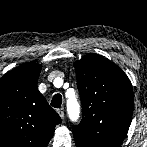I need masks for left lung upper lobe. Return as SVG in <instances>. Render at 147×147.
<instances>
[{
	"label": "left lung upper lobe",
	"instance_id": "left-lung-upper-lobe-1",
	"mask_svg": "<svg viewBox=\"0 0 147 147\" xmlns=\"http://www.w3.org/2000/svg\"><path fill=\"white\" fill-rule=\"evenodd\" d=\"M83 116L73 126L76 147H119L134 105L132 84L113 62L89 53L74 63Z\"/></svg>",
	"mask_w": 147,
	"mask_h": 147
}]
</instances>
